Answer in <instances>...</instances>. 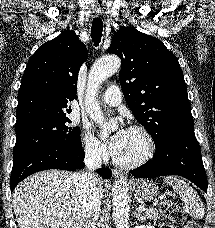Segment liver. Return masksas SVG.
I'll return each instance as SVG.
<instances>
[{"instance_id": "6515ba94", "label": "liver", "mask_w": 215, "mask_h": 228, "mask_svg": "<svg viewBox=\"0 0 215 228\" xmlns=\"http://www.w3.org/2000/svg\"><path fill=\"white\" fill-rule=\"evenodd\" d=\"M74 176L73 172L45 170L20 182L12 194L19 228H82Z\"/></svg>"}]
</instances>
